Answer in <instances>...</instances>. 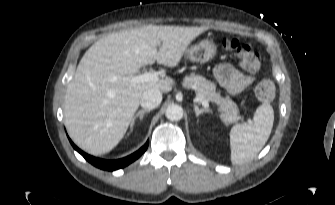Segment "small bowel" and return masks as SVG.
Returning a JSON list of instances; mask_svg holds the SVG:
<instances>
[{"instance_id":"small-bowel-1","label":"small bowel","mask_w":335,"mask_h":205,"mask_svg":"<svg viewBox=\"0 0 335 205\" xmlns=\"http://www.w3.org/2000/svg\"><path fill=\"white\" fill-rule=\"evenodd\" d=\"M213 74L219 84L229 93L238 94L250 86L254 77L246 75L229 63H221L214 67Z\"/></svg>"}]
</instances>
